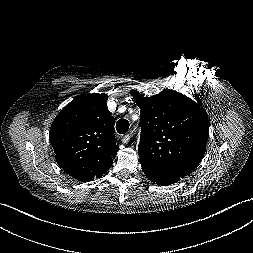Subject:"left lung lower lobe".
Listing matches in <instances>:
<instances>
[{
    "label": "left lung lower lobe",
    "instance_id": "obj_1",
    "mask_svg": "<svg viewBox=\"0 0 253 253\" xmlns=\"http://www.w3.org/2000/svg\"><path fill=\"white\" fill-rule=\"evenodd\" d=\"M141 166L146 177L150 181H152L153 183H157L158 185H163V186L171 185L173 183H176L182 177L176 174H170V173L157 171L149 167L147 164L143 162H141Z\"/></svg>",
    "mask_w": 253,
    "mask_h": 253
}]
</instances>
